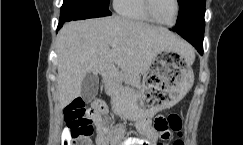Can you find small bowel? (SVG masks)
Instances as JSON below:
<instances>
[{
	"instance_id": "c3829d8e",
	"label": "small bowel",
	"mask_w": 243,
	"mask_h": 145,
	"mask_svg": "<svg viewBox=\"0 0 243 145\" xmlns=\"http://www.w3.org/2000/svg\"><path fill=\"white\" fill-rule=\"evenodd\" d=\"M94 110L93 120L97 127L105 126L104 116L108 113L107 105L100 100L92 104ZM138 136H126L125 129L118 127L104 132L97 131L95 145H164L163 141L169 139L170 135L162 138L155 130L152 121L148 117H141L136 122ZM61 145H72V137L66 127L62 131Z\"/></svg>"
}]
</instances>
